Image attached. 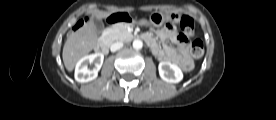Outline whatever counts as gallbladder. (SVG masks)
<instances>
[{
    "label": "gallbladder",
    "mask_w": 276,
    "mask_h": 120,
    "mask_svg": "<svg viewBox=\"0 0 276 120\" xmlns=\"http://www.w3.org/2000/svg\"><path fill=\"white\" fill-rule=\"evenodd\" d=\"M93 24H94L96 33L100 34L103 31V24H102V22L99 21V20H95Z\"/></svg>",
    "instance_id": "bac80fb5"
}]
</instances>
